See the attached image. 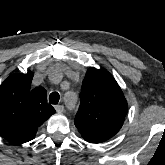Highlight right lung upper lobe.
<instances>
[{
    "mask_svg": "<svg viewBox=\"0 0 165 165\" xmlns=\"http://www.w3.org/2000/svg\"><path fill=\"white\" fill-rule=\"evenodd\" d=\"M33 72L16 73L0 86V135L15 144L34 139L55 109L47 103L44 88L30 89Z\"/></svg>",
    "mask_w": 165,
    "mask_h": 165,
    "instance_id": "cb5924a9",
    "label": "right lung upper lobe"
}]
</instances>
